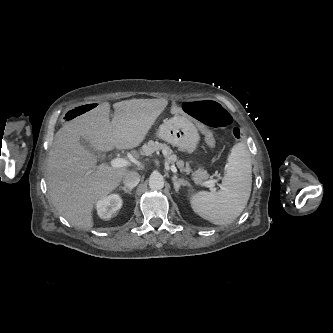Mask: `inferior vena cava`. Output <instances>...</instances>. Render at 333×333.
<instances>
[{
    "mask_svg": "<svg viewBox=\"0 0 333 333\" xmlns=\"http://www.w3.org/2000/svg\"><path fill=\"white\" fill-rule=\"evenodd\" d=\"M139 182L140 175L135 171H129L123 177V184L129 189L136 187Z\"/></svg>",
    "mask_w": 333,
    "mask_h": 333,
    "instance_id": "obj_1",
    "label": "inferior vena cava"
}]
</instances>
